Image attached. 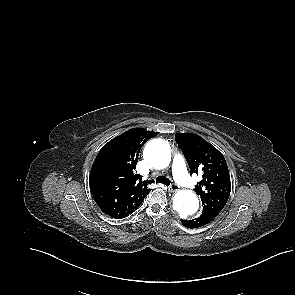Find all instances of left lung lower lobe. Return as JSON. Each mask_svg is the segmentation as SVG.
<instances>
[{"label":"left lung lower lobe","mask_w":295,"mask_h":295,"mask_svg":"<svg viewBox=\"0 0 295 295\" xmlns=\"http://www.w3.org/2000/svg\"><path fill=\"white\" fill-rule=\"evenodd\" d=\"M219 214L218 211L204 210L202 215L193 220H181L182 225L188 228H198L209 223L213 218Z\"/></svg>","instance_id":"obj_1"}]
</instances>
